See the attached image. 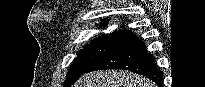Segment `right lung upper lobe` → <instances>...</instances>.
Wrapping results in <instances>:
<instances>
[{
    "label": "right lung upper lobe",
    "instance_id": "obj_1",
    "mask_svg": "<svg viewBox=\"0 0 205 87\" xmlns=\"http://www.w3.org/2000/svg\"><path fill=\"white\" fill-rule=\"evenodd\" d=\"M107 24H108V21H107V19H104L103 20V22L101 23V26H107ZM123 33H130V34H132L133 35V33L132 32H130V31H122Z\"/></svg>",
    "mask_w": 205,
    "mask_h": 87
}]
</instances>
